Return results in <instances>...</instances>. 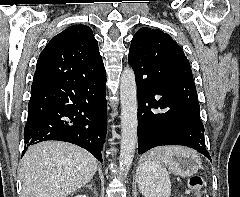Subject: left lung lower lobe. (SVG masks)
I'll use <instances>...</instances> for the list:
<instances>
[{
	"label": "left lung lower lobe",
	"instance_id": "1",
	"mask_svg": "<svg viewBox=\"0 0 240 197\" xmlns=\"http://www.w3.org/2000/svg\"><path fill=\"white\" fill-rule=\"evenodd\" d=\"M138 153L162 145H184L205 155L204 127L193 82H172L136 71Z\"/></svg>",
	"mask_w": 240,
	"mask_h": 197
}]
</instances>
